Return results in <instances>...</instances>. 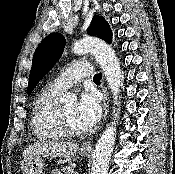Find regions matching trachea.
Instances as JSON below:
<instances>
[{
    "label": "trachea",
    "mask_w": 175,
    "mask_h": 174,
    "mask_svg": "<svg viewBox=\"0 0 175 174\" xmlns=\"http://www.w3.org/2000/svg\"><path fill=\"white\" fill-rule=\"evenodd\" d=\"M101 78H102V74L101 73H97V74L94 75L93 80L94 81H100Z\"/></svg>",
    "instance_id": "obj_1"
}]
</instances>
